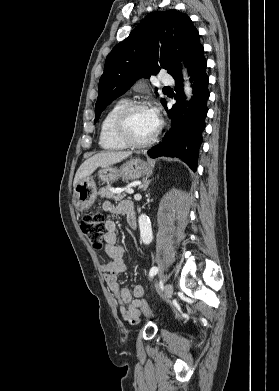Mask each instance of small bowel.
I'll list each match as a JSON object with an SVG mask.
<instances>
[{"instance_id": "obj_1", "label": "small bowel", "mask_w": 279, "mask_h": 391, "mask_svg": "<svg viewBox=\"0 0 279 391\" xmlns=\"http://www.w3.org/2000/svg\"><path fill=\"white\" fill-rule=\"evenodd\" d=\"M131 205L128 201H122L117 205L106 201L103 203V210L108 214L125 213L127 206ZM105 253L111 259L101 265L104 273V279L110 291L117 296L119 302V311L122 317L132 324L140 320V309L138 307L139 299L144 295V289L141 285H135L132 290L121 288L117 282V276L125 271L124 249L118 243L117 226L114 221L106 222L105 234Z\"/></svg>"}]
</instances>
